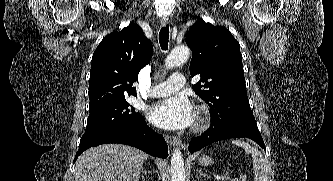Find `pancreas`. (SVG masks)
I'll return each instance as SVG.
<instances>
[{"label":"pancreas","mask_w":333,"mask_h":181,"mask_svg":"<svg viewBox=\"0 0 333 181\" xmlns=\"http://www.w3.org/2000/svg\"><path fill=\"white\" fill-rule=\"evenodd\" d=\"M229 181H238V179H229Z\"/></svg>","instance_id":"cf45deb5"}]
</instances>
